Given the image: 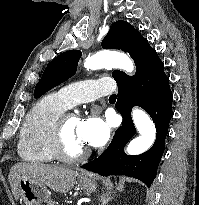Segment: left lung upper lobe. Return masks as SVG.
Returning a JSON list of instances; mask_svg holds the SVG:
<instances>
[{
  "label": "left lung upper lobe",
  "instance_id": "left-lung-upper-lobe-1",
  "mask_svg": "<svg viewBox=\"0 0 199 205\" xmlns=\"http://www.w3.org/2000/svg\"><path fill=\"white\" fill-rule=\"evenodd\" d=\"M140 34L138 30L126 21L119 20L115 22L101 45L105 49H119L127 52L135 37ZM81 57V51L70 50L63 52L53 59L45 68L44 73L37 83L34 90V97L39 98L53 87L61 84L72 77L77 69L78 61ZM120 71H113L114 79Z\"/></svg>",
  "mask_w": 199,
  "mask_h": 205
}]
</instances>
